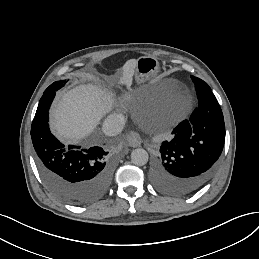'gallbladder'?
Returning a JSON list of instances; mask_svg holds the SVG:
<instances>
[{
    "label": "gallbladder",
    "instance_id": "obj_1",
    "mask_svg": "<svg viewBox=\"0 0 259 259\" xmlns=\"http://www.w3.org/2000/svg\"><path fill=\"white\" fill-rule=\"evenodd\" d=\"M140 104H146L145 100L142 99V100L140 101Z\"/></svg>",
    "mask_w": 259,
    "mask_h": 259
}]
</instances>
